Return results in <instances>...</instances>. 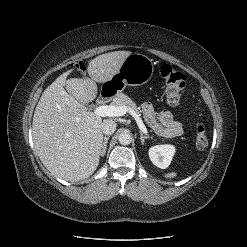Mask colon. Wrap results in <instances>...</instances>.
<instances>
[{"label": "colon", "instance_id": "colon-1", "mask_svg": "<svg viewBox=\"0 0 247 247\" xmlns=\"http://www.w3.org/2000/svg\"><path fill=\"white\" fill-rule=\"evenodd\" d=\"M75 67L79 70H84V65L81 62L75 64ZM160 76L165 83V93L168 103L178 105L185 90V76L168 64L161 66ZM195 144L198 149H204L208 145L207 132L202 124L196 127Z\"/></svg>", "mask_w": 247, "mask_h": 247}]
</instances>
